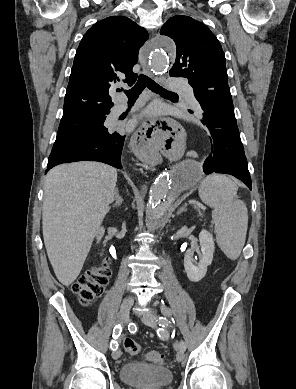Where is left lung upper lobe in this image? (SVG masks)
Segmentation results:
<instances>
[{
    "label": "left lung upper lobe",
    "instance_id": "obj_1",
    "mask_svg": "<svg viewBox=\"0 0 296 389\" xmlns=\"http://www.w3.org/2000/svg\"><path fill=\"white\" fill-rule=\"evenodd\" d=\"M160 34L176 44L177 56L170 75L187 78L197 100L204 91L229 88L224 52L206 25L176 15L162 26Z\"/></svg>",
    "mask_w": 296,
    "mask_h": 389
}]
</instances>
